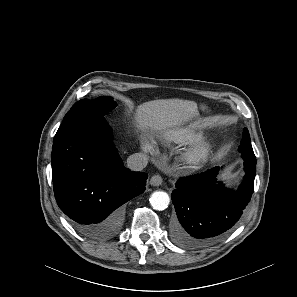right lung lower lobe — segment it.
Here are the masks:
<instances>
[{
    "mask_svg": "<svg viewBox=\"0 0 297 297\" xmlns=\"http://www.w3.org/2000/svg\"><path fill=\"white\" fill-rule=\"evenodd\" d=\"M51 164L58 206L79 233L95 240L120 231L123 204L144 192L148 176L124 167L107 122L56 134Z\"/></svg>",
    "mask_w": 297,
    "mask_h": 297,
    "instance_id": "98d812e1",
    "label": "right lung lower lobe"
}]
</instances>
